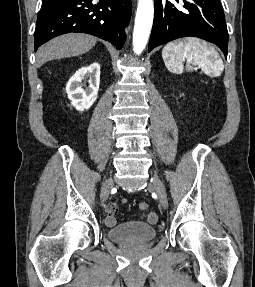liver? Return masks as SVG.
<instances>
[{"label":"liver","instance_id":"liver-1","mask_svg":"<svg viewBox=\"0 0 255 287\" xmlns=\"http://www.w3.org/2000/svg\"><path fill=\"white\" fill-rule=\"evenodd\" d=\"M97 44V38L87 34H65L50 40L45 46H41L36 54V66L41 68L45 62L60 60V58H71L86 54Z\"/></svg>","mask_w":255,"mask_h":287}]
</instances>
